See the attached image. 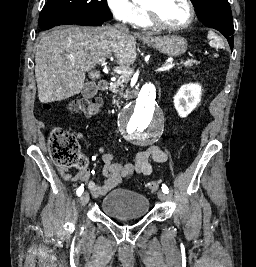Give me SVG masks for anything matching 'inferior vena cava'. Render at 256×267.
<instances>
[{
  "label": "inferior vena cava",
  "mask_w": 256,
  "mask_h": 267,
  "mask_svg": "<svg viewBox=\"0 0 256 267\" xmlns=\"http://www.w3.org/2000/svg\"><path fill=\"white\" fill-rule=\"evenodd\" d=\"M113 28H118L121 32H128V28L124 24H114Z\"/></svg>",
  "instance_id": "inferior-vena-cava-1"
}]
</instances>
